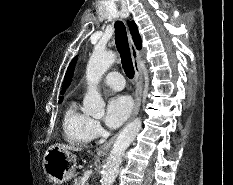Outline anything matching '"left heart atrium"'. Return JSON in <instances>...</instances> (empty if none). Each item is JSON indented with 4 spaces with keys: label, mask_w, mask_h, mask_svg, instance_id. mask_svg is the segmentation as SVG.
I'll return each instance as SVG.
<instances>
[{
    "label": "left heart atrium",
    "mask_w": 233,
    "mask_h": 185,
    "mask_svg": "<svg viewBox=\"0 0 233 185\" xmlns=\"http://www.w3.org/2000/svg\"><path fill=\"white\" fill-rule=\"evenodd\" d=\"M132 109V103L126 95H115L107 103L105 111V123L110 128H117L129 116Z\"/></svg>",
    "instance_id": "obj_1"
}]
</instances>
